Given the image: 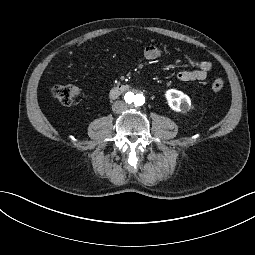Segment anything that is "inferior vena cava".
<instances>
[{
  "mask_svg": "<svg viewBox=\"0 0 255 255\" xmlns=\"http://www.w3.org/2000/svg\"><path fill=\"white\" fill-rule=\"evenodd\" d=\"M128 108V104L124 101H116L112 105V111L113 112H122Z\"/></svg>",
  "mask_w": 255,
  "mask_h": 255,
  "instance_id": "obj_1",
  "label": "inferior vena cava"
}]
</instances>
